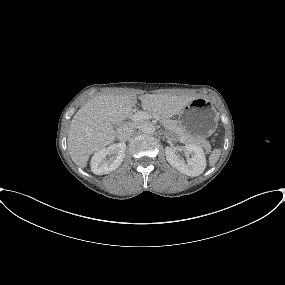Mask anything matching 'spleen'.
<instances>
[{"label":"spleen","mask_w":285,"mask_h":285,"mask_svg":"<svg viewBox=\"0 0 285 285\" xmlns=\"http://www.w3.org/2000/svg\"><path fill=\"white\" fill-rule=\"evenodd\" d=\"M221 155V149H215L212 151V153L209 156V164L210 166H213L217 161L219 160V157Z\"/></svg>","instance_id":"spleen-1"}]
</instances>
